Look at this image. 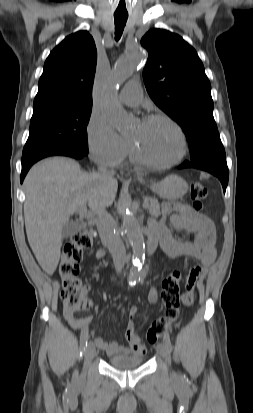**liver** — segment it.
I'll list each match as a JSON object with an SVG mask.
<instances>
[{
    "mask_svg": "<svg viewBox=\"0 0 253 413\" xmlns=\"http://www.w3.org/2000/svg\"><path fill=\"white\" fill-rule=\"evenodd\" d=\"M24 218L29 245L41 268L52 275L59 263L62 228L88 204L95 214L110 206L116 179L85 173L75 160L53 157L35 164L24 180Z\"/></svg>",
    "mask_w": 253,
    "mask_h": 413,
    "instance_id": "1",
    "label": "liver"
}]
</instances>
